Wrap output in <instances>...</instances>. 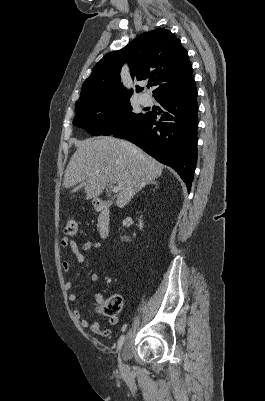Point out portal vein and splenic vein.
<instances>
[{
  "mask_svg": "<svg viewBox=\"0 0 265 401\" xmlns=\"http://www.w3.org/2000/svg\"><path fill=\"white\" fill-rule=\"evenodd\" d=\"M111 184H113V182H111ZM111 190H113V192H118L119 186H112Z\"/></svg>",
  "mask_w": 265,
  "mask_h": 401,
  "instance_id": "1",
  "label": "portal vein and splenic vein"
}]
</instances>
